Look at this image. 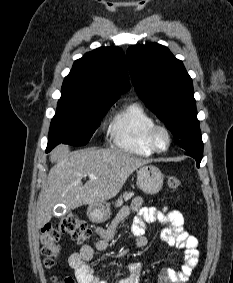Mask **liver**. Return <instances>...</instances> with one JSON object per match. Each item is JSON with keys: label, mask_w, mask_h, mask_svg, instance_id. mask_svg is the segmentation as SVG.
<instances>
[{"label": "liver", "mask_w": 233, "mask_h": 283, "mask_svg": "<svg viewBox=\"0 0 233 283\" xmlns=\"http://www.w3.org/2000/svg\"><path fill=\"white\" fill-rule=\"evenodd\" d=\"M47 186L38 198L36 228H42L53 215L56 204L74 209L84 204H98L115 197L128 177L150 161L122 150L89 148L71 153L59 145L50 152ZM93 174L84 185L82 178Z\"/></svg>", "instance_id": "1"}]
</instances>
